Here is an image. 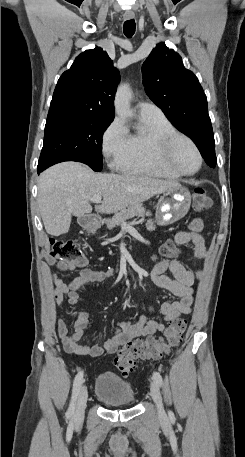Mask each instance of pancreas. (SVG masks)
Masks as SVG:
<instances>
[{"instance_id": "pancreas-1", "label": "pancreas", "mask_w": 245, "mask_h": 457, "mask_svg": "<svg viewBox=\"0 0 245 457\" xmlns=\"http://www.w3.org/2000/svg\"><path fill=\"white\" fill-rule=\"evenodd\" d=\"M150 210H145L142 202H136V204H130L127 208H123L120 212H115L112 218H104V222L107 224V229H114L117 224H122L127 218H133V216H149Z\"/></svg>"}]
</instances>
